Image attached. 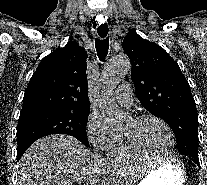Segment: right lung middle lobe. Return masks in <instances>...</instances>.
<instances>
[{
	"instance_id": "1",
	"label": "right lung middle lobe",
	"mask_w": 207,
	"mask_h": 185,
	"mask_svg": "<svg viewBox=\"0 0 207 185\" xmlns=\"http://www.w3.org/2000/svg\"><path fill=\"white\" fill-rule=\"evenodd\" d=\"M89 112L54 109L21 111L17 127V160L37 139L50 134H67L89 147L86 126Z\"/></svg>"
}]
</instances>
